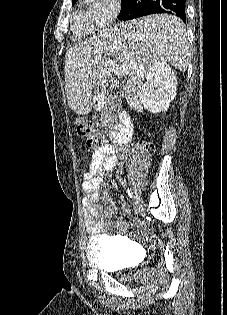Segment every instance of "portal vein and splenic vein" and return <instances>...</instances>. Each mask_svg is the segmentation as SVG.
<instances>
[{
    "mask_svg": "<svg viewBox=\"0 0 227 315\" xmlns=\"http://www.w3.org/2000/svg\"><path fill=\"white\" fill-rule=\"evenodd\" d=\"M110 69L114 72L117 76H124L127 73V68L119 67L118 65L114 64L112 61L108 62Z\"/></svg>",
    "mask_w": 227,
    "mask_h": 315,
    "instance_id": "1",
    "label": "portal vein and splenic vein"
}]
</instances>
